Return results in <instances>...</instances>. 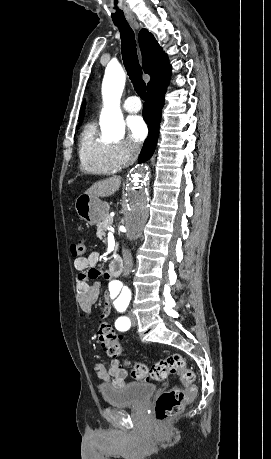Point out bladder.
<instances>
[{
    "instance_id": "31cf9c89",
    "label": "bladder",
    "mask_w": 271,
    "mask_h": 459,
    "mask_svg": "<svg viewBox=\"0 0 271 459\" xmlns=\"http://www.w3.org/2000/svg\"><path fill=\"white\" fill-rule=\"evenodd\" d=\"M153 391H155L154 384L135 382L127 383L120 389L103 390L102 395L109 405H141L145 399L150 398Z\"/></svg>"
}]
</instances>
